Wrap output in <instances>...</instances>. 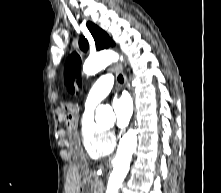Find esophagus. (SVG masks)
I'll use <instances>...</instances> for the list:
<instances>
[{
	"mask_svg": "<svg viewBox=\"0 0 221 193\" xmlns=\"http://www.w3.org/2000/svg\"><path fill=\"white\" fill-rule=\"evenodd\" d=\"M115 69L117 71H119L122 75H123V78H124V84L125 86L128 88V90L130 91V86L128 84V81H127V77L126 75L124 74L123 72V68L120 64H115ZM132 94V93H131ZM132 98L134 100V95L132 94ZM132 104H135V101H132ZM132 108H135V105H132ZM135 110V109H134ZM136 111V110H135ZM132 127L135 125L133 122L130 124Z\"/></svg>",
	"mask_w": 221,
	"mask_h": 193,
	"instance_id": "1",
	"label": "esophagus"
}]
</instances>
